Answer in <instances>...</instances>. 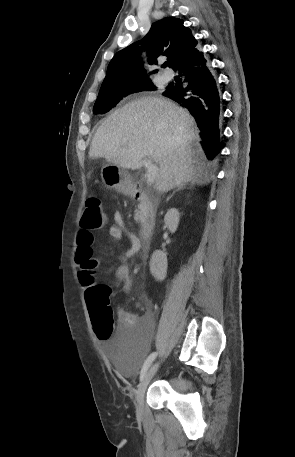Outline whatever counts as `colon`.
I'll use <instances>...</instances> for the list:
<instances>
[{
	"mask_svg": "<svg viewBox=\"0 0 295 457\" xmlns=\"http://www.w3.org/2000/svg\"><path fill=\"white\" fill-rule=\"evenodd\" d=\"M106 217L102 202L97 196H90L85 203L81 226L88 230H99L105 226ZM79 276L86 286V303L96 335L108 339L113 331V314L109 303L110 291L94 281V267L88 257L77 258Z\"/></svg>",
	"mask_w": 295,
	"mask_h": 457,
	"instance_id": "5ec220e1",
	"label": "colon"
}]
</instances>
